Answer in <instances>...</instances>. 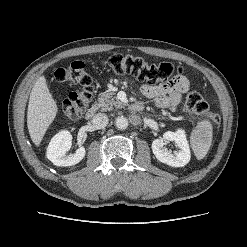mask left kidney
I'll use <instances>...</instances> for the list:
<instances>
[{"mask_svg": "<svg viewBox=\"0 0 247 247\" xmlns=\"http://www.w3.org/2000/svg\"><path fill=\"white\" fill-rule=\"evenodd\" d=\"M168 141L175 142L179 151L172 154L164 148ZM152 151L157 160L171 167H183L189 163L191 158L189 144L186 138L185 131L178 129L176 132L167 131L162 138L155 139L152 142Z\"/></svg>", "mask_w": 247, "mask_h": 247, "instance_id": "left-kidney-1", "label": "left kidney"}]
</instances>
